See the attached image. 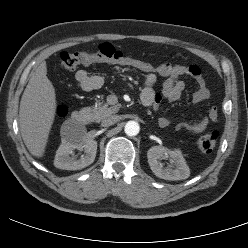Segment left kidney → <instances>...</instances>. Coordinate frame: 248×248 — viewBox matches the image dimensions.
I'll return each instance as SVG.
<instances>
[{
    "label": "left kidney",
    "mask_w": 248,
    "mask_h": 248,
    "mask_svg": "<svg viewBox=\"0 0 248 248\" xmlns=\"http://www.w3.org/2000/svg\"><path fill=\"white\" fill-rule=\"evenodd\" d=\"M170 157L173 164L169 167H163L158 161L161 157ZM149 166L152 172L159 178L165 180H183L190 176V169L183 158L180 150H170L166 147L154 146L147 152Z\"/></svg>",
    "instance_id": "1"
}]
</instances>
